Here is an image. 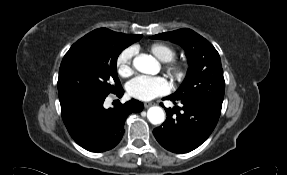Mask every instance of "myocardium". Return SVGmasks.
Masks as SVG:
<instances>
[{
	"instance_id": "f54148a6",
	"label": "myocardium",
	"mask_w": 287,
	"mask_h": 175,
	"mask_svg": "<svg viewBox=\"0 0 287 175\" xmlns=\"http://www.w3.org/2000/svg\"><path fill=\"white\" fill-rule=\"evenodd\" d=\"M168 74L175 79H182L185 76L186 67L183 63L171 60L166 64Z\"/></svg>"
}]
</instances>
